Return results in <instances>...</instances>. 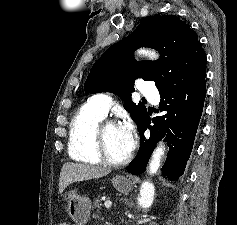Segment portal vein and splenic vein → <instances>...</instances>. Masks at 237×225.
Here are the masks:
<instances>
[{
    "mask_svg": "<svg viewBox=\"0 0 237 225\" xmlns=\"http://www.w3.org/2000/svg\"><path fill=\"white\" fill-rule=\"evenodd\" d=\"M104 206H105L107 209H109V208H111V206H112V202H111L110 200H107V201L104 202Z\"/></svg>",
    "mask_w": 237,
    "mask_h": 225,
    "instance_id": "obj_1",
    "label": "portal vein and splenic vein"
}]
</instances>
